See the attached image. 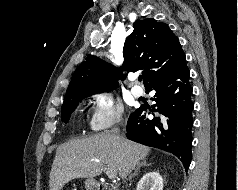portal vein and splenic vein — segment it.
<instances>
[{"instance_id":"obj_1","label":"portal vein and splenic vein","mask_w":238,"mask_h":190,"mask_svg":"<svg viewBox=\"0 0 238 190\" xmlns=\"http://www.w3.org/2000/svg\"><path fill=\"white\" fill-rule=\"evenodd\" d=\"M103 170L105 171L106 175L108 176L109 179H116L117 175L114 171L108 169V168H103Z\"/></svg>"}]
</instances>
